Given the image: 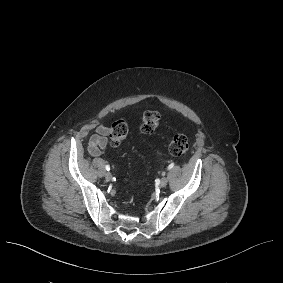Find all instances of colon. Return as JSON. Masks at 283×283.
Returning a JSON list of instances; mask_svg holds the SVG:
<instances>
[{"mask_svg": "<svg viewBox=\"0 0 283 283\" xmlns=\"http://www.w3.org/2000/svg\"><path fill=\"white\" fill-rule=\"evenodd\" d=\"M160 122V115L156 111H146L141 120L140 130L144 134L153 133ZM129 125L126 119L115 121L110 129L109 140L114 147L121 145L127 138ZM187 138L182 134H176L168 142V150L174 156H182L188 151Z\"/></svg>", "mask_w": 283, "mask_h": 283, "instance_id": "5ec220e1", "label": "colon"}]
</instances>
